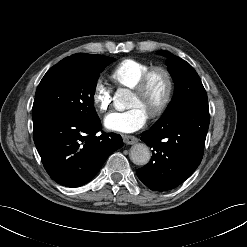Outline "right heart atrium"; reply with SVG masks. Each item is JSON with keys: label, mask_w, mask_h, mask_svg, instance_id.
<instances>
[{"label": "right heart atrium", "mask_w": 247, "mask_h": 247, "mask_svg": "<svg viewBox=\"0 0 247 247\" xmlns=\"http://www.w3.org/2000/svg\"><path fill=\"white\" fill-rule=\"evenodd\" d=\"M93 104L99 112H107L112 104V90L102 80H97L93 87Z\"/></svg>", "instance_id": "1"}]
</instances>
